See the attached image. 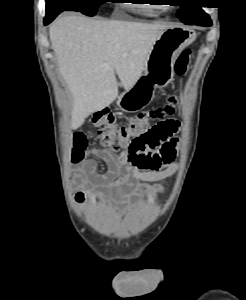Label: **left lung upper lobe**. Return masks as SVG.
Instances as JSON below:
<instances>
[{
  "label": "left lung upper lobe",
  "mask_w": 246,
  "mask_h": 300,
  "mask_svg": "<svg viewBox=\"0 0 246 300\" xmlns=\"http://www.w3.org/2000/svg\"><path fill=\"white\" fill-rule=\"evenodd\" d=\"M184 5L181 6L177 17L185 24L195 25L198 23L210 21V17L201 7L198 6L203 1L200 0H184Z\"/></svg>",
  "instance_id": "left-lung-upper-lobe-1"
}]
</instances>
